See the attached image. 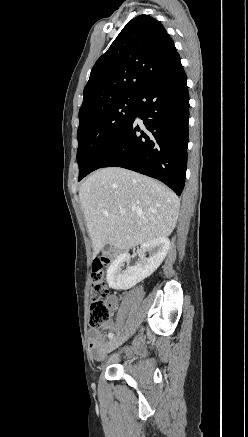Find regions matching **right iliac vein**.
Instances as JSON below:
<instances>
[{
	"mask_svg": "<svg viewBox=\"0 0 248 437\" xmlns=\"http://www.w3.org/2000/svg\"><path fill=\"white\" fill-rule=\"evenodd\" d=\"M126 337H117L108 342V344L104 348V353H109L119 347L124 341Z\"/></svg>",
	"mask_w": 248,
	"mask_h": 437,
	"instance_id": "right-iliac-vein-1",
	"label": "right iliac vein"
}]
</instances>
